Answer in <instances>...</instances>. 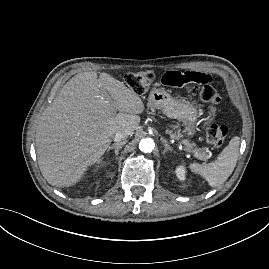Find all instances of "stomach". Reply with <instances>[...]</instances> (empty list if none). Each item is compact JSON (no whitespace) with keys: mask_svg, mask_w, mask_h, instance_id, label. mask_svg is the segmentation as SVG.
I'll list each match as a JSON object with an SVG mask.
<instances>
[{"mask_svg":"<svg viewBox=\"0 0 269 269\" xmlns=\"http://www.w3.org/2000/svg\"><path fill=\"white\" fill-rule=\"evenodd\" d=\"M147 106L150 110H161L167 117L182 121L186 125L183 133L187 137L195 134L199 112L192 103L175 99L163 88H154L149 94Z\"/></svg>","mask_w":269,"mask_h":269,"instance_id":"1","label":"stomach"}]
</instances>
